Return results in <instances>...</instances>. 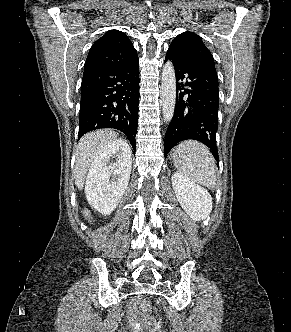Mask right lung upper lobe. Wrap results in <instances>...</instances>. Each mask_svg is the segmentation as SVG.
I'll list each match as a JSON object with an SVG mask.
<instances>
[{"instance_id":"obj_1","label":"right lung upper lobe","mask_w":291,"mask_h":332,"mask_svg":"<svg viewBox=\"0 0 291 332\" xmlns=\"http://www.w3.org/2000/svg\"><path fill=\"white\" fill-rule=\"evenodd\" d=\"M136 57L137 51L129 38L121 31L109 30L92 45L84 72L121 65Z\"/></svg>"}]
</instances>
